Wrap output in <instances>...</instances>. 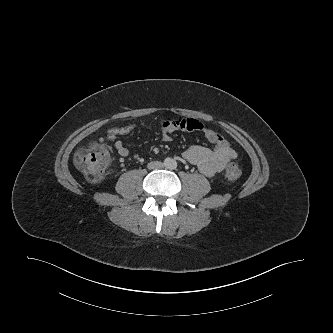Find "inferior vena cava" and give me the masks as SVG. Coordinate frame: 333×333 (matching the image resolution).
I'll list each match as a JSON object with an SVG mask.
<instances>
[{"mask_svg": "<svg viewBox=\"0 0 333 333\" xmlns=\"http://www.w3.org/2000/svg\"><path fill=\"white\" fill-rule=\"evenodd\" d=\"M147 167L150 170H156V169L162 168L163 167V163L160 162V161H152V162L148 163Z\"/></svg>", "mask_w": 333, "mask_h": 333, "instance_id": "602c4592", "label": "inferior vena cava"}]
</instances>
